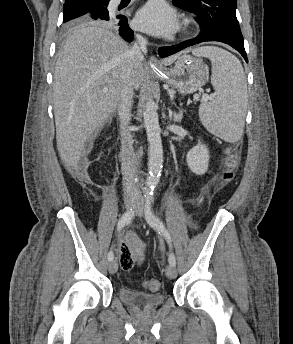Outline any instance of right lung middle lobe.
<instances>
[{
    "mask_svg": "<svg viewBox=\"0 0 293 344\" xmlns=\"http://www.w3.org/2000/svg\"><path fill=\"white\" fill-rule=\"evenodd\" d=\"M107 0H85L63 6L64 28L69 29L72 25L90 23L86 14L99 5H104Z\"/></svg>",
    "mask_w": 293,
    "mask_h": 344,
    "instance_id": "dd1d6c3e",
    "label": "right lung middle lobe"
}]
</instances>
